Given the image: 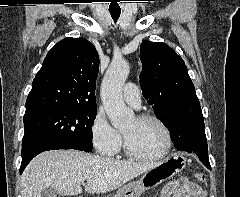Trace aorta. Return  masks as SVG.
<instances>
[{"mask_svg":"<svg viewBox=\"0 0 240 197\" xmlns=\"http://www.w3.org/2000/svg\"><path fill=\"white\" fill-rule=\"evenodd\" d=\"M129 71L127 61H112L102 81V103L112 126L117 129L124 128L134 118V112L125 105L122 96V88Z\"/></svg>","mask_w":240,"mask_h":197,"instance_id":"762f6f07","label":"aorta"}]
</instances>
